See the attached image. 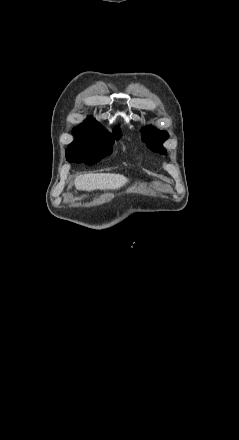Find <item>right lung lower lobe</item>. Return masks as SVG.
I'll use <instances>...</instances> for the list:
<instances>
[{
    "mask_svg": "<svg viewBox=\"0 0 239 440\" xmlns=\"http://www.w3.org/2000/svg\"><path fill=\"white\" fill-rule=\"evenodd\" d=\"M108 154L110 153H103L94 148H81L70 152L66 151V158L69 162H84L87 165H92L99 162Z\"/></svg>",
    "mask_w": 239,
    "mask_h": 440,
    "instance_id": "98d812e1",
    "label": "right lung lower lobe"
}]
</instances>
